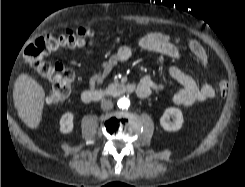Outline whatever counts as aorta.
<instances>
[{
    "instance_id": "aorta-1",
    "label": "aorta",
    "mask_w": 245,
    "mask_h": 187,
    "mask_svg": "<svg viewBox=\"0 0 245 187\" xmlns=\"http://www.w3.org/2000/svg\"><path fill=\"white\" fill-rule=\"evenodd\" d=\"M117 106L120 108V109H127L129 106H130V101L128 98L126 97H121L118 99L117 101Z\"/></svg>"
}]
</instances>
